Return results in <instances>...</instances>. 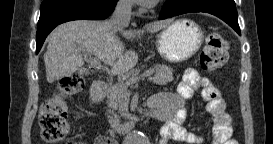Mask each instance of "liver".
Wrapping results in <instances>:
<instances>
[{
	"instance_id": "1",
	"label": "liver",
	"mask_w": 273,
	"mask_h": 144,
	"mask_svg": "<svg viewBox=\"0 0 273 144\" xmlns=\"http://www.w3.org/2000/svg\"><path fill=\"white\" fill-rule=\"evenodd\" d=\"M172 20L157 21L147 26L154 33L164 29ZM127 39H133L132 31L118 30ZM97 56L111 67V74L122 75L138 62L135 51L125 50L123 42L109 21H70L56 27L48 36L44 54L46 77L49 83L69 77L84 65L83 52Z\"/></svg>"
}]
</instances>
